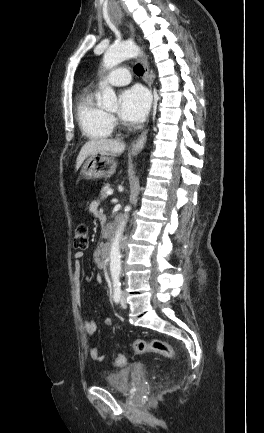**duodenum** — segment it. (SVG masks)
I'll return each mask as SVG.
<instances>
[{
  "mask_svg": "<svg viewBox=\"0 0 264 433\" xmlns=\"http://www.w3.org/2000/svg\"><path fill=\"white\" fill-rule=\"evenodd\" d=\"M112 233L111 229H107V234L110 236ZM110 245L101 246L95 253V259L97 262L101 264H105L108 254H109Z\"/></svg>",
  "mask_w": 264,
  "mask_h": 433,
  "instance_id": "obj_1",
  "label": "duodenum"
}]
</instances>
